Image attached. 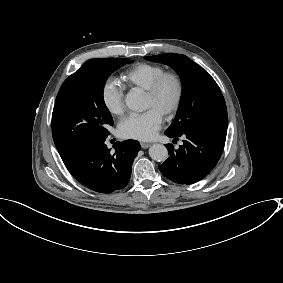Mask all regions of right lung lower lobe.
I'll return each mask as SVG.
<instances>
[{"instance_id":"obj_1","label":"right lung lower lobe","mask_w":283,"mask_h":283,"mask_svg":"<svg viewBox=\"0 0 283 283\" xmlns=\"http://www.w3.org/2000/svg\"><path fill=\"white\" fill-rule=\"evenodd\" d=\"M106 138L96 139L62 159L76 180L100 193H111L128 184L132 163L141 149L139 142L126 140L117 142L115 152L110 153Z\"/></svg>"}]
</instances>
